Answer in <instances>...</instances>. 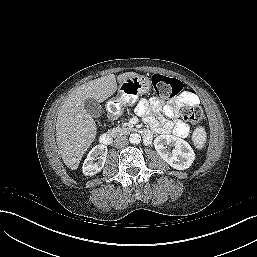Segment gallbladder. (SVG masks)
<instances>
[{
    "label": "gallbladder",
    "instance_id": "bac80fb5",
    "mask_svg": "<svg viewBox=\"0 0 257 257\" xmlns=\"http://www.w3.org/2000/svg\"><path fill=\"white\" fill-rule=\"evenodd\" d=\"M84 108L86 112L94 118H98L101 116V105L97 100L93 98H88L84 101Z\"/></svg>",
    "mask_w": 257,
    "mask_h": 257
}]
</instances>
